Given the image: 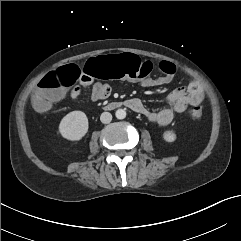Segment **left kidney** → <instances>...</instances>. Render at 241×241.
<instances>
[{"mask_svg": "<svg viewBox=\"0 0 241 241\" xmlns=\"http://www.w3.org/2000/svg\"><path fill=\"white\" fill-rule=\"evenodd\" d=\"M163 139L166 142H174L176 140V134L171 130L165 131L163 133Z\"/></svg>", "mask_w": 241, "mask_h": 241, "instance_id": "obj_1", "label": "left kidney"}]
</instances>
